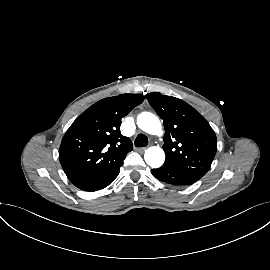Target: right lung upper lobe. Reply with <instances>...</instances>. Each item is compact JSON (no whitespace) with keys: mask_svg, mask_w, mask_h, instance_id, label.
<instances>
[{"mask_svg":"<svg viewBox=\"0 0 270 270\" xmlns=\"http://www.w3.org/2000/svg\"><path fill=\"white\" fill-rule=\"evenodd\" d=\"M143 100V94L105 98L73 122L59 149L60 163L72 183L113 171L123 164L133 144L120 133L121 119Z\"/></svg>","mask_w":270,"mask_h":270,"instance_id":"1","label":"right lung upper lobe"}]
</instances>
